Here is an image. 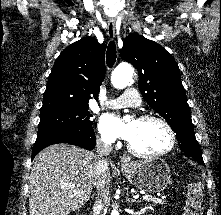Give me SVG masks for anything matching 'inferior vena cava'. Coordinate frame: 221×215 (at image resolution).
Here are the masks:
<instances>
[{
	"label": "inferior vena cava",
	"instance_id": "602c4592",
	"mask_svg": "<svg viewBox=\"0 0 221 215\" xmlns=\"http://www.w3.org/2000/svg\"><path fill=\"white\" fill-rule=\"evenodd\" d=\"M112 151L111 144H106L99 140L96 145L98 163L96 168V176L94 185L97 190V198L95 202L96 209L100 212L103 204L108 200L109 196V178H108V161L106 157Z\"/></svg>",
	"mask_w": 221,
	"mask_h": 215
}]
</instances>
